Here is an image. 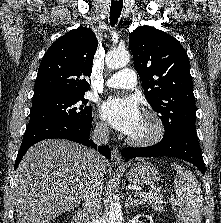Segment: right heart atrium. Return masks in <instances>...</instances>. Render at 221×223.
Wrapping results in <instances>:
<instances>
[{"instance_id":"right-heart-atrium-1","label":"right heart atrium","mask_w":221,"mask_h":223,"mask_svg":"<svg viewBox=\"0 0 221 223\" xmlns=\"http://www.w3.org/2000/svg\"><path fill=\"white\" fill-rule=\"evenodd\" d=\"M96 130L98 133L105 134L108 132V126L104 122L97 121L96 122Z\"/></svg>"}]
</instances>
